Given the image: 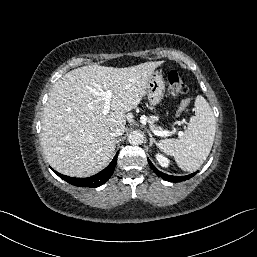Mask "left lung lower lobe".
Segmentation results:
<instances>
[{"mask_svg": "<svg viewBox=\"0 0 257 257\" xmlns=\"http://www.w3.org/2000/svg\"><path fill=\"white\" fill-rule=\"evenodd\" d=\"M148 162H149V165H150V167L152 168V170L157 174V175H159L161 178H163L164 180H167V181H169V182H181V181H185V180H188V179H190L191 177H193L195 174H197L198 173V171L197 172H195V173H193V174H190V175H187V176H179V177H177V176H172V175H168V174H165V173H162V172H160L159 170H157V168L151 163V161L148 159Z\"/></svg>", "mask_w": 257, "mask_h": 257, "instance_id": "left-lung-lower-lobe-1", "label": "left lung lower lobe"}]
</instances>
